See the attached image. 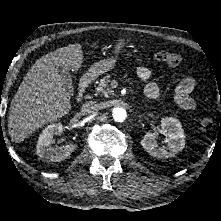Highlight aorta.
Listing matches in <instances>:
<instances>
[{"label":"aorta","instance_id":"aorta-1","mask_svg":"<svg viewBox=\"0 0 221 221\" xmlns=\"http://www.w3.org/2000/svg\"><path fill=\"white\" fill-rule=\"evenodd\" d=\"M112 116L116 122H123L127 118V112L123 108H114L112 111Z\"/></svg>","mask_w":221,"mask_h":221}]
</instances>
